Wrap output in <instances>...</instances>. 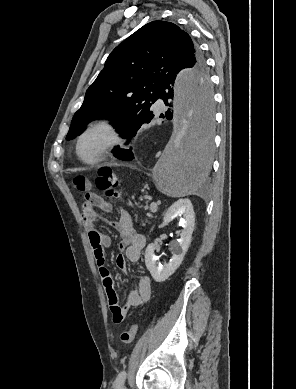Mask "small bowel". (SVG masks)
<instances>
[{"label": "small bowel", "instance_id": "obj_1", "mask_svg": "<svg viewBox=\"0 0 296 389\" xmlns=\"http://www.w3.org/2000/svg\"><path fill=\"white\" fill-rule=\"evenodd\" d=\"M111 209L112 205L108 201L95 193H87L84 195L81 205V220L88 234L93 255L108 298L112 318L115 312L119 311L122 314L123 321L131 307L141 306L150 299L151 280L141 268L137 288L129 292L126 302L123 305L120 304L112 275L105 262L104 251L111 245V238L99 232L95 227V220L98 213H108ZM113 226L120 234L118 248L122 251L116 257V265L119 269L125 270L127 261L138 263L141 252L146 245V239L136 231L130 214L124 209H121L120 217L117 221L113 222Z\"/></svg>", "mask_w": 296, "mask_h": 389}]
</instances>
